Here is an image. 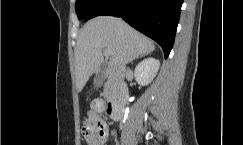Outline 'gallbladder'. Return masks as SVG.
Returning a JSON list of instances; mask_svg holds the SVG:
<instances>
[{
  "mask_svg": "<svg viewBox=\"0 0 243 145\" xmlns=\"http://www.w3.org/2000/svg\"><path fill=\"white\" fill-rule=\"evenodd\" d=\"M105 70H106V65L102 64L100 71L96 74L94 78V88H98L102 85L103 81L106 78Z\"/></svg>",
  "mask_w": 243,
  "mask_h": 145,
  "instance_id": "1",
  "label": "gallbladder"
}]
</instances>
